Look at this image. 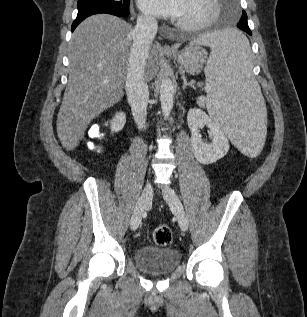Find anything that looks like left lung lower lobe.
Wrapping results in <instances>:
<instances>
[{"label": "left lung lower lobe", "instance_id": "left-lung-lower-lobe-1", "mask_svg": "<svg viewBox=\"0 0 307 317\" xmlns=\"http://www.w3.org/2000/svg\"><path fill=\"white\" fill-rule=\"evenodd\" d=\"M238 28L241 29V30H243V31L246 32L247 34L252 35L251 30H250V28H249V26H248L247 21H243V22L241 21L240 24H239V26H238ZM234 43H235L236 45H238L239 47L241 46V42L235 41Z\"/></svg>", "mask_w": 307, "mask_h": 317}]
</instances>
